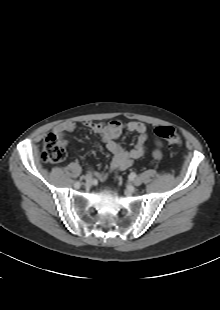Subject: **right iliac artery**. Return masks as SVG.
I'll return each mask as SVG.
<instances>
[{"mask_svg":"<svg viewBox=\"0 0 220 310\" xmlns=\"http://www.w3.org/2000/svg\"><path fill=\"white\" fill-rule=\"evenodd\" d=\"M75 188H79L81 186V183L80 181H76L75 184H74Z\"/></svg>","mask_w":220,"mask_h":310,"instance_id":"obj_1","label":"right iliac artery"}]
</instances>
